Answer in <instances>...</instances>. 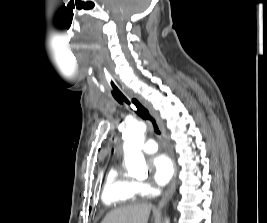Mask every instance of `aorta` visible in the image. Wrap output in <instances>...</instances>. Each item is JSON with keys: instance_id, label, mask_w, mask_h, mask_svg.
<instances>
[{"instance_id": "1", "label": "aorta", "mask_w": 267, "mask_h": 223, "mask_svg": "<svg viewBox=\"0 0 267 223\" xmlns=\"http://www.w3.org/2000/svg\"><path fill=\"white\" fill-rule=\"evenodd\" d=\"M146 131L143 122L129 124L124 131V160L129 175L137 177L148 172L144 156L141 152ZM166 223L169 220L166 219Z\"/></svg>"}]
</instances>
